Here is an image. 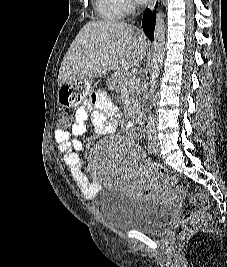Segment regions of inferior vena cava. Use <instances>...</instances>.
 I'll list each match as a JSON object with an SVG mask.
<instances>
[{
  "label": "inferior vena cava",
  "instance_id": "inferior-vena-cava-1",
  "mask_svg": "<svg viewBox=\"0 0 227 267\" xmlns=\"http://www.w3.org/2000/svg\"><path fill=\"white\" fill-rule=\"evenodd\" d=\"M155 132V118L151 111H148V121H147V134Z\"/></svg>",
  "mask_w": 227,
  "mask_h": 267
}]
</instances>
